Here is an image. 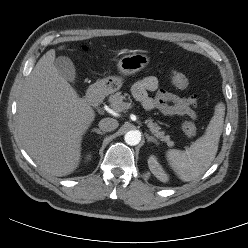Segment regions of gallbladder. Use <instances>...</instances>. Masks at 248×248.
Wrapping results in <instances>:
<instances>
[{
	"mask_svg": "<svg viewBox=\"0 0 248 248\" xmlns=\"http://www.w3.org/2000/svg\"><path fill=\"white\" fill-rule=\"evenodd\" d=\"M54 65L58 73L69 82H74L76 70L73 62L66 56H59L54 60Z\"/></svg>",
	"mask_w": 248,
	"mask_h": 248,
	"instance_id": "gallbladder-1",
	"label": "gallbladder"
}]
</instances>
